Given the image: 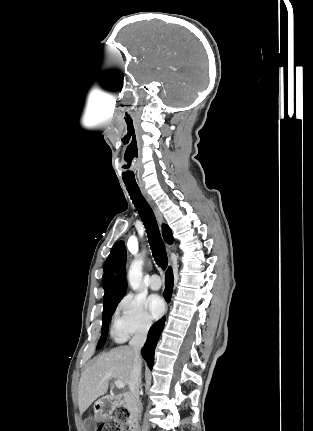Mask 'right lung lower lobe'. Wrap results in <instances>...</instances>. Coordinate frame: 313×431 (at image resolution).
Wrapping results in <instances>:
<instances>
[{
    "label": "right lung lower lobe",
    "instance_id": "98d812e1",
    "mask_svg": "<svg viewBox=\"0 0 313 431\" xmlns=\"http://www.w3.org/2000/svg\"><path fill=\"white\" fill-rule=\"evenodd\" d=\"M165 286L166 288L164 291V297L169 302L172 294V288H173V275H172L171 268H169L168 271L166 272ZM164 323H165V317H163L161 320H159L158 322L152 325V327L149 330L146 343L141 350L142 357L145 359L150 369H152L153 367L155 348H156L158 339L160 337V334L163 330Z\"/></svg>",
    "mask_w": 313,
    "mask_h": 431
}]
</instances>
